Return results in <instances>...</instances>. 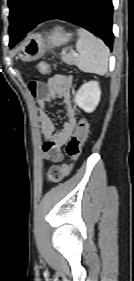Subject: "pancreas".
I'll return each instance as SVG.
<instances>
[{"label": "pancreas", "mask_w": 134, "mask_h": 281, "mask_svg": "<svg viewBox=\"0 0 134 281\" xmlns=\"http://www.w3.org/2000/svg\"><path fill=\"white\" fill-rule=\"evenodd\" d=\"M62 61L69 64L74 65L76 63V57L73 54H63L62 55Z\"/></svg>", "instance_id": "1"}]
</instances>
